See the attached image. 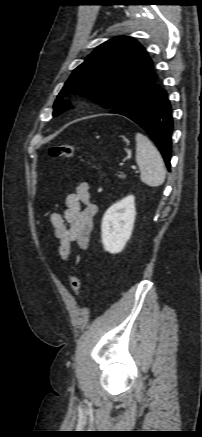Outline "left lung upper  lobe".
<instances>
[{"mask_svg": "<svg viewBox=\"0 0 202 437\" xmlns=\"http://www.w3.org/2000/svg\"><path fill=\"white\" fill-rule=\"evenodd\" d=\"M155 82L153 63L135 39L117 37L98 46L71 74L54 103L53 115L71 108L63 97L78 93L113 109Z\"/></svg>", "mask_w": 202, "mask_h": 437, "instance_id": "left-lung-upper-lobe-1", "label": "left lung upper lobe"}]
</instances>
